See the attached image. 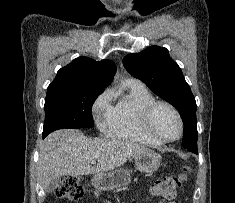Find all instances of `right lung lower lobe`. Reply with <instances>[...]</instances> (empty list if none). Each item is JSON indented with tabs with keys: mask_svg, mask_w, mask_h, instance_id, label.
I'll use <instances>...</instances> for the list:
<instances>
[{
	"mask_svg": "<svg viewBox=\"0 0 235 203\" xmlns=\"http://www.w3.org/2000/svg\"><path fill=\"white\" fill-rule=\"evenodd\" d=\"M43 136V139L47 136V135H42Z\"/></svg>",
	"mask_w": 235,
	"mask_h": 203,
	"instance_id": "1",
	"label": "right lung lower lobe"
}]
</instances>
